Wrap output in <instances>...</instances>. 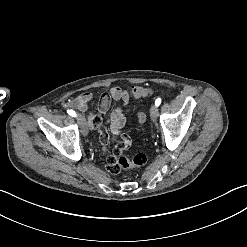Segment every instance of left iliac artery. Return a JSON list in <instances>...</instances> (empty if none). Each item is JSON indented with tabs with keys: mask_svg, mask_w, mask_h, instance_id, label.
<instances>
[{
	"mask_svg": "<svg viewBox=\"0 0 247 247\" xmlns=\"http://www.w3.org/2000/svg\"><path fill=\"white\" fill-rule=\"evenodd\" d=\"M161 104V98H157L155 101V106L158 107Z\"/></svg>",
	"mask_w": 247,
	"mask_h": 247,
	"instance_id": "44dca946",
	"label": "left iliac artery"
}]
</instances>
